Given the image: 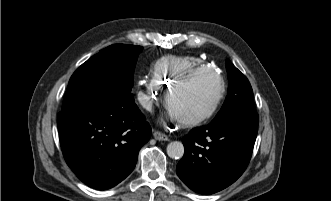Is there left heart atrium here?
<instances>
[{
	"instance_id": "left-heart-atrium-1",
	"label": "left heart atrium",
	"mask_w": 331,
	"mask_h": 201,
	"mask_svg": "<svg viewBox=\"0 0 331 201\" xmlns=\"http://www.w3.org/2000/svg\"><path fill=\"white\" fill-rule=\"evenodd\" d=\"M171 116H172V117H179V116L177 115V113H176L174 110H172V109H171Z\"/></svg>"
}]
</instances>
